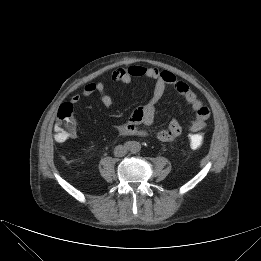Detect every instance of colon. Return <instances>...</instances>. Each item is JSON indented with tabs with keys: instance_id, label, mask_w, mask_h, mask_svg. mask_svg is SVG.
<instances>
[{
	"instance_id": "colon-1",
	"label": "colon",
	"mask_w": 261,
	"mask_h": 261,
	"mask_svg": "<svg viewBox=\"0 0 261 261\" xmlns=\"http://www.w3.org/2000/svg\"><path fill=\"white\" fill-rule=\"evenodd\" d=\"M77 125L73 106L70 103L62 104L57 113V120L54 127V136L57 141H65L75 132ZM204 143V135L201 132H194L188 136V144L191 149H199Z\"/></svg>"
}]
</instances>
